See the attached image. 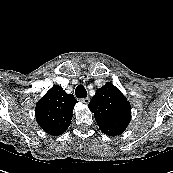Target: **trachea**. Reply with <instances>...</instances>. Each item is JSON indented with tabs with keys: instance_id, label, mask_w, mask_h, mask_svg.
<instances>
[{
	"instance_id": "1",
	"label": "trachea",
	"mask_w": 173,
	"mask_h": 173,
	"mask_svg": "<svg viewBox=\"0 0 173 173\" xmlns=\"http://www.w3.org/2000/svg\"><path fill=\"white\" fill-rule=\"evenodd\" d=\"M75 95L78 98H85L87 97V91L83 85H78L75 89Z\"/></svg>"
}]
</instances>
